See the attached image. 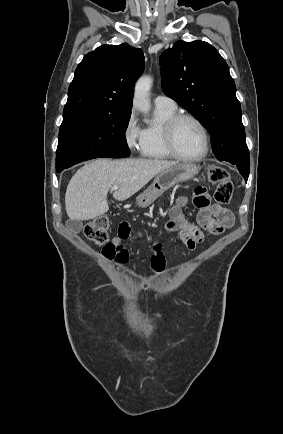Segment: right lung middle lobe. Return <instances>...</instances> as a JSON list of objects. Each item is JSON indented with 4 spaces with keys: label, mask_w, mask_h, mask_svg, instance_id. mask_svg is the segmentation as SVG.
<instances>
[{
    "label": "right lung middle lobe",
    "mask_w": 283,
    "mask_h": 434,
    "mask_svg": "<svg viewBox=\"0 0 283 434\" xmlns=\"http://www.w3.org/2000/svg\"><path fill=\"white\" fill-rule=\"evenodd\" d=\"M130 116L131 112L63 118L56 151L57 172L94 158L128 157L125 131Z\"/></svg>",
    "instance_id": "obj_1"
}]
</instances>
